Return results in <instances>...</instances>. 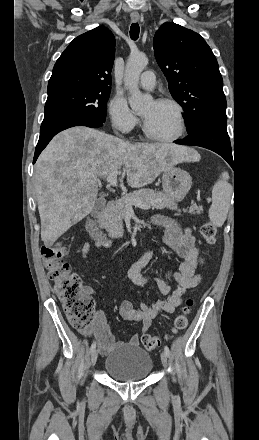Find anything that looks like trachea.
<instances>
[{"mask_svg": "<svg viewBox=\"0 0 259 440\" xmlns=\"http://www.w3.org/2000/svg\"><path fill=\"white\" fill-rule=\"evenodd\" d=\"M140 27L138 23H133L130 27V37L132 40H137L139 37Z\"/></svg>", "mask_w": 259, "mask_h": 440, "instance_id": "3493384b", "label": "trachea"}]
</instances>
